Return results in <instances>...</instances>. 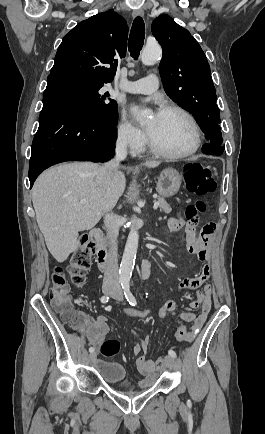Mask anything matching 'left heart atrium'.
I'll return each instance as SVG.
<instances>
[{
  "instance_id": "39dd6f15",
  "label": "left heart atrium",
  "mask_w": 265,
  "mask_h": 434,
  "mask_svg": "<svg viewBox=\"0 0 265 434\" xmlns=\"http://www.w3.org/2000/svg\"><path fill=\"white\" fill-rule=\"evenodd\" d=\"M133 110L136 111L137 108L135 107V108H133ZM158 116H159V113H155V115H154V117H153V122H152L150 125H148V127H147V132H148V134H150V133L152 132L153 127H154V124H155V122H156Z\"/></svg>"
}]
</instances>
